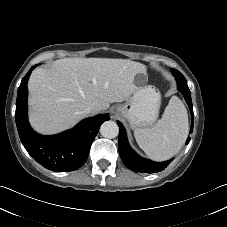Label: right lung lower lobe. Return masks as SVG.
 Wrapping results in <instances>:
<instances>
[{
	"mask_svg": "<svg viewBox=\"0 0 227 227\" xmlns=\"http://www.w3.org/2000/svg\"><path fill=\"white\" fill-rule=\"evenodd\" d=\"M24 76L18 88L15 120L21 142L27 152L42 166L55 172L80 168L87 160L91 144L108 114L82 120L71 130L43 136L29 125L27 115V82L31 71Z\"/></svg>",
	"mask_w": 227,
	"mask_h": 227,
	"instance_id": "1",
	"label": "right lung lower lobe"
}]
</instances>
